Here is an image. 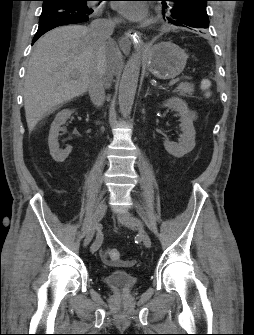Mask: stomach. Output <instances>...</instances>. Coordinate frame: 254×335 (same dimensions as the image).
I'll list each match as a JSON object with an SVG mask.
<instances>
[{
	"instance_id": "obj_1",
	"label": "stomach",
	"mask_w": 254,
	"mask_h": 335,
	"mask_svg": "<svg viewBox=\"0 0 254 335\" xmlns=\"http://www.w3.org/2000/svg\"><path fill=\"white\" fill-rule=\"evenodd\" d=\"M187 54L173 42H160L150 47L145 54L148 70L158 79L177 77L186 66Z\"/></svg>"
}]
</instances>
